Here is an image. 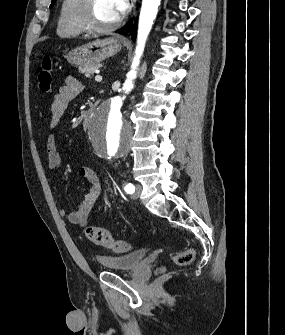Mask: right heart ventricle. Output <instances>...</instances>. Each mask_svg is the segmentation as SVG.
Here are the masks:
<instances>
[{"label":"right heart ventricle","mask_w":285,"mask_h":335,"mask_svg":"<svg viewBox=\"0 0 285 335\" xmlns=\"http://www.w3.org/2000/svg\"><path fill=\"white\" fill-rule=\"evenodd\" d=\"M83 1H61L56 33L61 39L73 40L84 34L81 22Z\"/></svg>","instance_id":"obj_1"}]
</instances>
